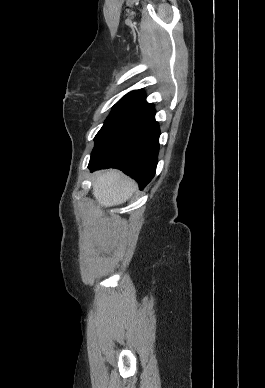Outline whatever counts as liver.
Masks as SVG:
<instances>
[{
  "instance_id": "1",
  "label": "liver",
  "mask_w": 265,
  "mask_h": 388,
  "mask_svg": "<svg viewBox=\"0 0 265 388\" xmlns=\"http://www.w3.org/2000/svg\"><path fill=\"white\" fill-rule=\"evenodd\" d=\"M92 186L93 196L98 202V206H102V208L124 204L137 190L136 182L123 176L119 170L96 172Z\"/></svg>"
}]
</instances>
